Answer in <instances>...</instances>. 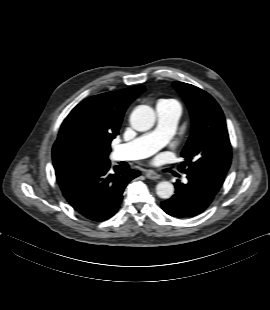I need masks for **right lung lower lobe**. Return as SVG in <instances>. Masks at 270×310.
<instances>
[{
  "label": "right lung lower lobe",
  "mask_w": 270,
  "mask_h": 310,
  "mask_svg": "<svg viewBox=\"0 0 270 310\" xmlns=\"http://www.w3.org/2000/svg\"><path fill=\"white\" fill-rule=\"evenodd\" d=\"M64 197L79 214L92 221H105L118 210L124 188L139 171L115 167L110 162L55 170Z\"/></svg>",
  "instance_id": "98d812e1"
}]
</instances>
